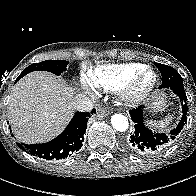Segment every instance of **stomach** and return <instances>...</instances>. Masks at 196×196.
<instances>
[{"instance_id": "stomach-1", "label": "stomach", "mask_w": 196, "mask_h": 196, "mask_svg": "<svg viewBox=\"0 0 196 196\" xmlns=\"http://www.w3.org/2000/svg\"><path fill=\"white\" fill-rule=\"evenodd\" d=\"M166 104V95L163 92H155L149 102V107L153 111H159L164 108Z\"/></svg>"}]
</instances>
